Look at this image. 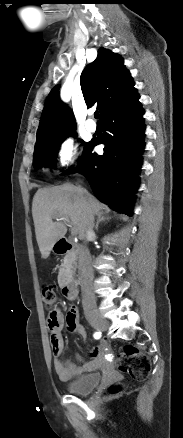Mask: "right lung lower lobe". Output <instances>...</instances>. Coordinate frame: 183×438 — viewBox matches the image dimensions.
<instances>
[{
  "mask_svg": "<svg viewBox=\"0 0 183 438\" xmlns=\"http://www.w3.org/2000/svg\"><path fill=\"white\" fill-rule=\"evenodd\" d=\"M138 93L108 112L101 119L104 135L85 144L79 172L83 173L96 197L112 209L132 215L134 192L144 149V110ZM105 144L104 154L93 153L97 144ZM75 169L63 174L74 173Z\"/></svg>",
  "mask_w": 183,
  "mask_h": 438,
  "instance_id": "right-lung-lower-lobe-1",
  "label": "right lung lower lobe"
}]
</instances>
